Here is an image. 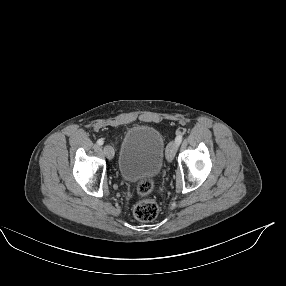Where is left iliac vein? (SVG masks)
<instances>
[{"mask_svg": "<svg viewBox=\"0 0 286 286\" xmlns=\"http://www.w3.org/2000/svg\"><path fill=\"white\" fill-rule=\"evenodd\" d=\"M178 145L175 141H172L168 144L166 149V159L168 162H172V160L175 157L176 151H177Z\"/></svg>", "mask_w": 286, "mask_h": 286, "instance_id": "left-iliac-vein-1", "label": "left iliac vein"}]
</instances>
